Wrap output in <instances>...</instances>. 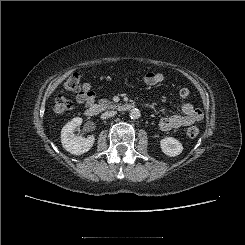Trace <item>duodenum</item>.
Segmentation results:
<instances>
[{
    "label": "duodenum",
    "mask_w": 245,
    "mask_h": 245,
    "mask_svg": "<svg viewBox=\"0 0 245 245\" xmlns=\"http://www.w3.org/2000/svg\"><path fill=\"white\" fill-rule=\"evenodd\" d=\"M134 108V105L132 103H123L118 106V110L120 112H127ZM100 112V106L95 103H90L87 105L85 109V114L88 117H95Z\"/></svg>",
    "instance_id": "obj_1"
}]
</instances>
